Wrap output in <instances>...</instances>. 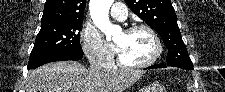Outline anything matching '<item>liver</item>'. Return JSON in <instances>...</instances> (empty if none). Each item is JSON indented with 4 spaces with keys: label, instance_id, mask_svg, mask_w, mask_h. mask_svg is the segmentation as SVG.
Instances as JSON below:
<instances>
[{
    "label": "liver",
    "instance_id": "1",
    "mask_svg": "<svg viewBox=\"0 0 225 92\" xmlns=\"http://www.w3.org/2000/svg\"><path fill=\"white\" fill-rule=\"evenodd\" d=\"M145 73L142 70L86 69L75 61L48 63L28 72L25 92H123Z\"/></svg>",
    "mask_w": 225,
    "mask_h": 92
}]
</instances>
